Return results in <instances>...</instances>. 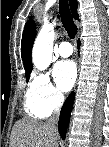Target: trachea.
Listing matches in <instances>:
<instances>
[{"label":"trachea","mask_w":109,"mask_h":147,"mask_svg":"<svg viewBox=\"0 0 109 147\" xmlns=\"http://www.w3.org/2000/svg\"><path fill=\"white\" fill-rule=\"evenodd\" d=\"M59 14L62 24L68 33V36L73 39L77 33V27L74 24L67 0L59 1Z\"/></svg>","instance_id":"3493384b"}]
</instances>
